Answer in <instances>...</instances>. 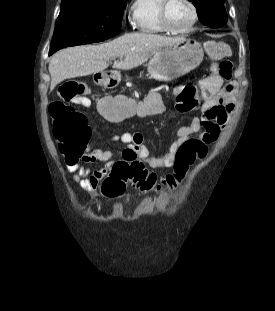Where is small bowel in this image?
Listing matches in <instances>:
<instances>
[{
  "label": "small bowel",
  "mask_w": 275,
  "mask_h": 311,
  "mask_svg": "<svg viewBox=\"0 0 275 311\" xmlns=\"http://www.w3.org/2000/svg\"><path fill=\"white\" fill-rule=\"evenodd\" d=\"M201 89L203 101L199 109L202 112V117H194L189 125L178 127L175 140L160 156L150 154L148 147L144 144L143 135L139 132L118 133L111 138L110 142H121L128 145V148L122 150L123 159L127 162L141 160L151 169L171 167L175 162L179 147L185 139L197 134L206 142L207 136H213L215 140L233 111L237 93L236 83H224L219 75L211 74L201 82ZM198 103L194 104L190 100L177 101L176 111L179 113L196 112ZM78 105L88 107L90 104ZM114 156L111 147L88 149L81 157L66 158L65 166L72 174L73 180L82 189L89 193H96L101 182L110 174L113 165L118 162ZM93 162H103L104 165L97 169L85 166V163Z\"/></svg>",
  "instance_id": "1"
}]
</instances>
